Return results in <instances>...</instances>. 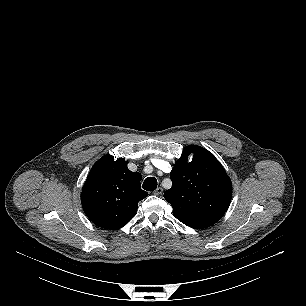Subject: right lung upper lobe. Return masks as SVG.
<instances>
[{
  "label": "right lung upper lobe",
  "mask_w": 306,
  "mask_h": 306,
  "mask_svg": "<svg viewBox=\"0 0 306 306\" xmlns=\"http://www.w3.org/2000/svg\"><path fill=\"white\" fill-rule=\"evenodd\" d=\"M124 159L105 155L91 168L81 203L87 217L104 229H119L136 214L138 202L148 196L141 189L142 176L132 172Z\"/></svg>",
  "instance_id": "1"
}]
</instances>
